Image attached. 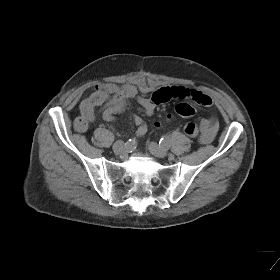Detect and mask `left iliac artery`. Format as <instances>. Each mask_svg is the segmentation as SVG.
Returning a JSON list of instances; mask_svg holds the SVG:
<instances>
[{
	"mask_svg": "<svg viewBox=\"0 0 280 280\" xmlns=\"http://www.w3.org/2000/svg\"><path fill=\"white\" fill-rule=\"evenodd\" d=\"M161 144L165 145V146H170L171 142H172V138L171 135H165L163 138H161L160 140Z\"/></svg>",
	"mask_w": 280,
	"mask_h": 280,
	"instance_id": "obj_1",
	"label": "left iliac artery"
}]
</instances>
